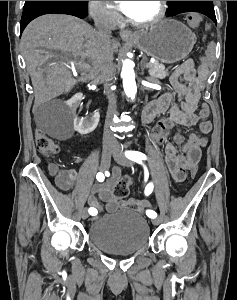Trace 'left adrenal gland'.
Here are the masks:
<instances>
[{"mask_svg": "<svg viewBox=\"0 0 237 300\" xmlns=\"http://www.w3.org/2000/svg\"><path fill=\"white\" fill-rule=\"evenodd\" d=\"M145 63H146V57H143V59H142V61H141V69H142V73H143V71H144Z\"/></svg>", "mask_w": 237, "mask_h": 300, "instance_id": "left-adrenal-gland-1", "label": "left adrenal gland"}]
</instances>
